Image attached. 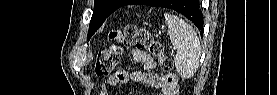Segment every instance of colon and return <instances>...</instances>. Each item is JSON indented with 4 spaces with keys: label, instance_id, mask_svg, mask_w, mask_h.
Returning a JSON list of instances; mask_svg holds the SVG:
<instances>
[{
    "label": "colon",
    "instance_id": "5ec220e1",
    "mask_svg": "<svg viewBox=\"0 0 277 95\" xmlns=\"http://www.w3.org/2000/svg\"><path fill=\"white\" fill-rule=\"evenodd\" d=\"M109 39L113 42V45L101 50L96 58L95 74L98 76L110 75L117 68L124 48L146 51L157 57L163 77L173 70V59L165 53L162 43L144 28L130 25L113 30L109 34Z\"/></svg>",
    "mask_w": 277,
    "mask_h": 95
}]
</instances>
